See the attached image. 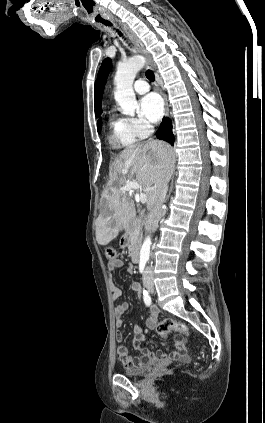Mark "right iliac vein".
Returning <instances> with one entry per match:
<instances>
[{
  "label": "right iliac vein",
  "mask_w": 265,
  "mask_h": 423,
  "mask_svg": "<svg viewBox=\"0 0 265 423\" xmlns=\"http://www.w3.org/2000/svg\"><path fill=\"white\" fill-rule=\"evenodd\" d=\"M144 285L149 291L153 292V285L150 281H144Z\"/></svg>",
  "instance_id": "obj_1"
}]
</instances>
